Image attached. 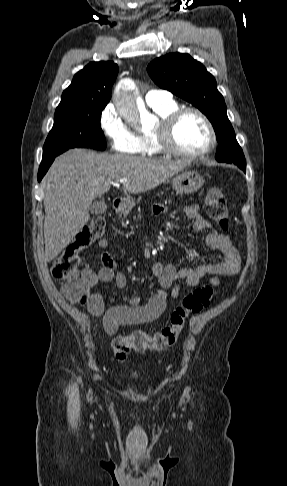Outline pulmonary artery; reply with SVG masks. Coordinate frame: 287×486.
<instances>
[{
    "mask_svg": "<svg viewBox=\"0 0 287 486\" xmlns=\"http://www.w3.org/2000/svg\"><path fill=\"white\" fill-rule=\"evenodd\" d=\"M145 99L149 106H154L172 101V95L166 90L153 89L147 92Z\"/></svg>",
    "mask_w": 287,
    "mask_h": 486,
    "instance_id": "1",
    "label": "pulmonary artery"
}]
</instances>
